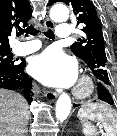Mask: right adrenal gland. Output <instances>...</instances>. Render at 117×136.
Returning <instances> with one entry per match:
<instances>
[{
    "label": "right adrenal gland",
    "mask_w": 117,
    "mask_h": 136,
    "mask_svg": "<svg viewBox=\"0 0 117 136\" xmlns=\"http://www.w3.org/2000/svg\"><path fill=\"white\" fill-rule=\"evenodd\" d=\"M28 133V129L25 130L24 136H26Z\"/></svg>",
    "instance_id": "2a0ac1e0"
}]
</instances>
